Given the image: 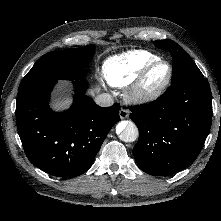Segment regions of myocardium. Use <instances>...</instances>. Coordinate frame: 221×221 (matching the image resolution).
I'll return each instance as SVG.
<instances>
[{
    "label": "myocardium",
    "mask_w": 221,
    "mask_h": 221,
    "mask_svg": "<svg viewBox=\"0 0 221 221\" xmlns=\"http://www.w3.org/2000/svg\"><path fill=\"white\" fill-rule=\"evenodd\" d=\"M159 65H165L167 68V73L164 80L154 86L150 87L148 85V78L151 72ZM172 67L171 65L162 59H157L147 65L138 77L134 80L129 92L128 98L131 102L136 104H148L157 100L168 88L172 79Z\"/></svg>",
    "instance_id": "1"
}]
</instances>
